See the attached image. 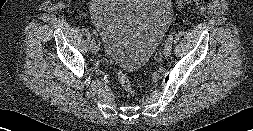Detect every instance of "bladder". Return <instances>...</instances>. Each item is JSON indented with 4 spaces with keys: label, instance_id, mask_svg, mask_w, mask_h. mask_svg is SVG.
<instances>
[{
    "label": "bladder",
    "instance_id": "obj_1",
    "mask_svg": "<svg viewBox=\"0 0 253 131\" xmlns=\"http://www.w3.org/2000/svg\"><path fill=\"white\" fill-rule=\"evenodd\" d=\"M90 16L105 56L127 72L140 70L172 18L170 0H91Z\"/></svg>",
    "mask_w": 253,
    "mask_h": 131
}]
</instances>
